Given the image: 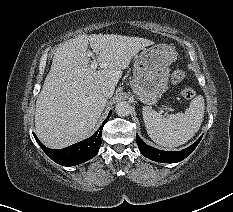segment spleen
Wrapping results in <instances>:
<instances>
[{
    "label": "spleen",
    "mask_w": 233,
    "mask_h": 212,
    "mask_svg": "<svg viewBox=\"0 0 233 212\" xmlns=\"http://www.w3.org/2000/svg\"><path fill=\"white\" fill-rule=\"evenodd\" d=\"M204 98L195 97L185 113L162 117L149 106L143 107V120L149 137L159 146L174 148L188 142L200 129L204 117Z\"/></svg>",
    "instance_id": "spleen-1"
}]
</instances>
